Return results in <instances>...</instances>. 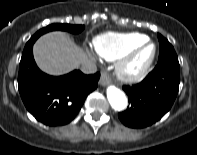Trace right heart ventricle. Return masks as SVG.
Masks as SVG:
<instances>
[{
  "label": "right heart ventricle",
  "instance_id": "1",
  "mask_svg": "<svg viewBox=\"0 0 197 155\" xmlns=\"http://www.w3.org/2000/svg\"><path fill=\"white\" fill-rule=\"evenodd\" d=\"M147 36L141 33H105L93 40V46L97 54L108 61L119 59L134 46L147 40Z\"/></svg>",
  "mask_w": 197,
  "mask_h": 155
}]
</instances>
